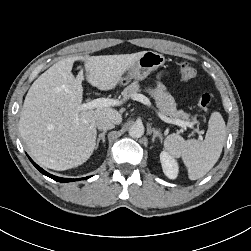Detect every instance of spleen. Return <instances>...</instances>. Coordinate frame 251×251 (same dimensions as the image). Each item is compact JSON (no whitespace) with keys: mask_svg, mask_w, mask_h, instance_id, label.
<instances>
[{"mask_svg":"<svg viewBox=\"0 0 251 251\" xmlns=\"http://www.w3.org/2000/svg\"><path fill=\"white\" fill-rule=\"evenodd\" d=\"M226 138V125L219 112H213L204 141L185 140L170 134L164 140L165 150L173 157H181L191 180L203 177L218 161Z\"/></svg>","mask_w":251,"mask_h":251,"instance_id":"3e777b00","label":"spleen"}]
</instances>
